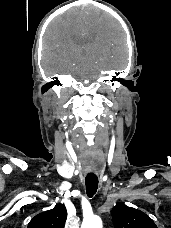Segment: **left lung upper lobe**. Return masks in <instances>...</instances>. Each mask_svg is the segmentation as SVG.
<instances>
[{
	"mask_svg": "<svg viewBox=\"0 0 171 228\" xmlns=\"http://www.w3.org/2000/svg\"><path fill=\"white\" fill-rule=\"evenodd\" d=\"M115 228H157L153 220L144 212L118 203L112 210Z\"/></svg>",
	"mask_w": 171,
	"mask_h": 228,
	"instance_id": "obj_1",
	"label": "left lung upper lobe"
}]
</instances>
